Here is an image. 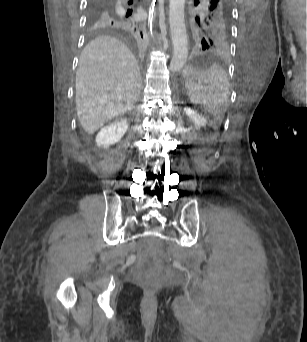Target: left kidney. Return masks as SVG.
Instances as JSON below:
<instances>
[{"mask_svg": "<svg viewBox=\"0 0 307 342\" xmlns=\"http://www.w3.org/2000/svg\"><path fill=\"white\" fill-rule=\"evenodd\" d=\"M185 114L191 118L192 122L194 124H197V126H205L207 124L206 118H203V116H199V114H196L194 110H190V108H184Z\"/></svg>", "mask_w": 307, "mask_h": 342, "instance_id": "5707ae66", "label": "left kidney"}]
</instances>
